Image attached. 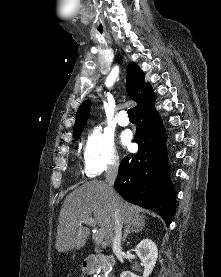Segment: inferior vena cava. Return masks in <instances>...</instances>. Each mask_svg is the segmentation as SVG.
Wrapping results in <instances>:
<instances>
[{
	"label": "inferior vena cava",
	"mask_w": 221,
	"mask_h": 277,
	"mask_svg": "<svg viewBox=\"0 0 221 277\" xmlns=\"http://www.w3.org/2000/svg\"><path fill=\"white\" fill-rule=\"evenodd\" d=\"M118 166H119L118 162H114L110 164L105 173L106 182H107L106 192L109 196L113 194V185L117 177ZM110 208L112 211V226H111L112 233H113L112 247H113V250H116L121 248L122 223L116 206L113 203H111Z\"/></svg>",
	"instance_id": "obj_1"
}]
</instances>
